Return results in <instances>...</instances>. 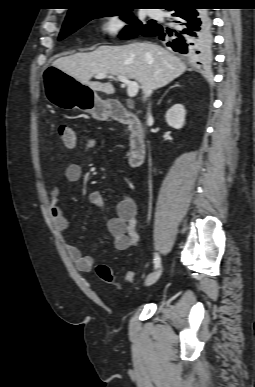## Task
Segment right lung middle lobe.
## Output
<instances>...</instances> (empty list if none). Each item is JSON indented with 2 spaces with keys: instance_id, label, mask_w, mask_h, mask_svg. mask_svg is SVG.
Returning <instances> with one entry per match:
<instances>
[{
  "instance_id": "1",
  "label": "right lung middle lobe",
  "mask_w": 255,
  "mask_h": 387,
  "mask_svg": "<svg viewBox=\"0 0 255 387\" xmlns=\"http://www.w3.org/2000/svg\"><path fill=\"white\" fill-rule=\"evenodd\" d=\"M132 8L128 7H120L116 9L109 10H94L87 13H84L76 18H66L59 34V40L65 38L67 35L75 32L77 29L81 28L88 21L103 17V16H114L121 15L120 18L130 25H127L123 31L119 34L121 39H131L136 37L137 35L142 34V31L145 28L158 26V24L154 25L153 23L144 24L141 21L134 18L133 14L129 12Z\"/></svg>"
}]
</instances>
